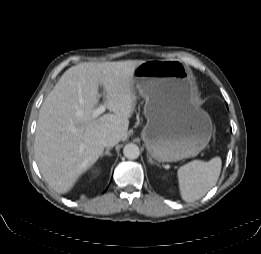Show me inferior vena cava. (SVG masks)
<instances>
[{
  "label": "inferior vena cava",
  "instance_id": "obj_1",
  "mask_svg": "<svg viewBox=\"0 0 261 254\" xmlns=\"http://www.w3.org/2000/svg\"><path fill=\"white\" fill-rule=\"evenodd\" d=\"M120 141L119 136L117 134H112L106 136L102 143L104 147H113L115 144H117Z\"/></svg>",
  "mask_w": 261,
  "mask_h": 254
}]
</instances>
